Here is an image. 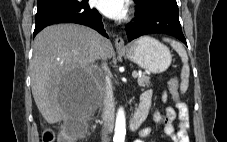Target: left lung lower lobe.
<instances>
[{
	"mask_svg": "<svg viewBox=\"0 0 227 142\" xmlns=\"http://www.w3.org/2000/svg\"><path fill=\"white\" fill-rule=\"evenodd\" d=\"M129 41L142 35L163 33L176 37L187 45L178 18V10L161 5L135 11V22L126 26Z\"/></svg>",
	"mask_w": 227,
	"mask_h": 142,
	"instance_id": "left-lung-lower-lobe-1",
	"label": "left lung lower lobe"
}]
</instances>
